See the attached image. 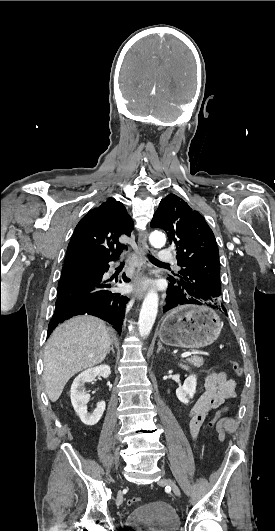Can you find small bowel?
Listing matches in <instances>:
<instances>
[{
	"label": "small bowel",
	"instance_id": "c3829d8e",
	"mask_svg": "<svg viewBox=\"0 0 275 531\" xmlns=\"http://www.w3.org/2000/svg\"><path fill=\"white\" fill-rule=\"evenodd\" d=\"M236 387L237 382L228 378L223 371H210L206 374L197 386V398L188 415L189 432L193 439H196L207 415L212 410L220 409L226 401L236 398ZM225 410L226 408L221 409ZM221 411L214 418V422Z\"/></svg>",
	"mask_w": 275,
	"mask_h": 531
}]
</instances>
